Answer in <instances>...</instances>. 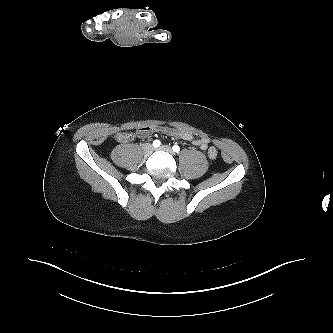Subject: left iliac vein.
Segmentation results:
<instances>
[{"label":"left iliac vein","mask_w":333,"mask_h":333,"mask_svg":"<svg viewBox=\"0 0 333 333\" xmlns=\"http://www.w3.org/2000/svg\"><path fill=\"white\" fill-rule=\"evenodd\" d=\"M157 150L165 151V152H168V153H170L172 155L174 154L172 148L170 146H168V145H162L159 148H157Z\"/></svg>","instance_id":"4c4485c4"}]
</instances>
